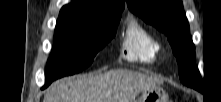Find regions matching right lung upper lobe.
I'll use <instances>...</instances> for the list:
<instances>
[{
	"label": "right lung upper lobe",
	"instance_id": "cb5924a9",
	"mask_svg": "<svg viewBox=\"0 0 221 102\" xmlns=\"http://www.w3.org/2000/svg\"><path fill=\"white\" fill-rule=\"evenodd\" d=\"M124 6L125 0H72L62 7L59 16L113 17L121 14Z\"/></svg>",
	"mask_w": 221,
	"mask_h": 102
}]
</instances>
